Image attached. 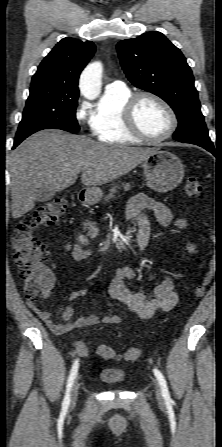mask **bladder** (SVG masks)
I'll list each match as a JSON object with an SVG mask.
<instances>
[{"mask_svg": "<svg viewBox=\"0 0 222 447\" xmlns=\"http://www.w3.org/2000/svg\"><path fill=\"white\" fill-rule=\"evenodd\" d=\"M99 379L105 384L116 385L125 382V372L123 370L102 369Z\"/></svg>", "mask_w": 222, "mask_h": 447, "instance_id": "1", "label": "bladder"}]
</instances>
